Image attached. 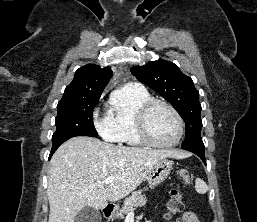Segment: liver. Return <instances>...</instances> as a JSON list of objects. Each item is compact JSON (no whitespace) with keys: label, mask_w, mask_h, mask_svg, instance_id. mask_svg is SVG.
Masks as SVG:
<instances>
[{"label":"liver","mask_w":257,"mask_h":222,"mask_svg":"<svg viewBox=\"0 0 257 222\" xmlns=\"http://www.w3.org/2000/svg\"><path fill=\"white\" fill-rule=\"evenodd\" d=\"M186 153L113 145L90 137H74L51 158L47 195L48 222H74L84 207L103 209L135 190L154 164ZM107 177L114 180L105 184Z\"/></svg>","instance_id":"1"}]
</instances>
